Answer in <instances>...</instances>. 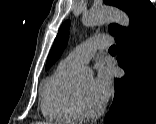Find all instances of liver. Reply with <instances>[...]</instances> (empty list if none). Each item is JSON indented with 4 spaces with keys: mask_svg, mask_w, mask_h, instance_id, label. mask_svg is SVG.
I'll return each instance as SVG.
<instances>
[{
    "mask_svg": "<svg viewBox=\"0 0 156 124\" xmlns=\"http://www.w3.org/2000/svg\"><path fill=\"white\" fill-rule=\"evenodd\" d=\"M33 124H47L45 122H34Z\"/></svg>",
    "mask_w": 156,
    "mask_h": 124,
    "instance_id": "6515ba94",
    "label": "liver"
}]
</instances>
